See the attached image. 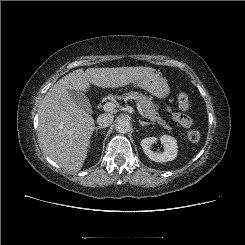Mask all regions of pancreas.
I'll return each mask as SVG.
<instances>
[{
    "label": "pancreas",
    "mask_w": 245,
    "mask_h": 245,
    "mask_svg": "<svg viewBox=\"0 0 245 245\" xmlns=\"http://www.w3.org/2000/svg\"><path fill=\"white\" fill-rule=\"evenodd\" d=\"M118 99L129 98L133 99L137 102L138 105L142 108L145 117L152 121V124L158 123L164 126L166 129L170 130L171 127L162 120L158 115V106L152 102V98L143 95L142 93H138L135 91H131L122 96H118Z\"/></svg>",
    "instance_id": "1"
}]
</instances>
